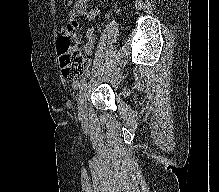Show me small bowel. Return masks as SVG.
I'll use <instances>...</instances> for the list:
<instances>
[{
  "label": "small bowel",
  "mask_w": 219,
  "mask_h": 192,
  "mask_svg": "<svg viewBox=\"0 0 219 192\" xmlns=\"http://www.w3.org/2000/svg\"><path fill=\"white\" fill-rule=\"evenodd\" d=\"M90 0H77L73 9V14L82 15L85 17V24H91L100 14L98 7L89 8ZM95 27L92 26L86 31V41L83 45V50L86 55L90 56L95 44Z\"/></svg>",
  "instance_id": "1"
}]
</instances>
